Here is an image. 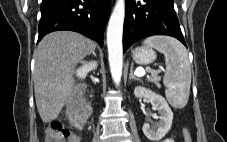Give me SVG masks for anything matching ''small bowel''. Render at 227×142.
<instances>
[{
  "instance_id": "obj_1",
  "label": "small bowel",
  "mask_w": 227,
  "mask_h": 142,
  "mask_svg": "<svg viewBox=\"0 0 227 142\" xmlns=\"http://www.w3.org/2000/svg\"><path fill=\"white\" fill-rule=\"evenodd\" d=\"M160 142H174V140L172 138H165V139L161 140Z\"/></svg>"
}]
</instances>
